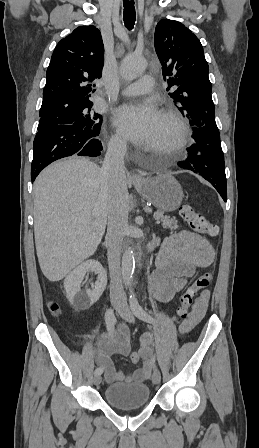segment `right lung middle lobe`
<instances>
[{"instance_id":"1","label":"right lung middle lobe","mask_w":259,"mask_h":448,"mask_svg":"<svg viewBox=\"0 0 259 448\" xmlns=\"http://www.w3.org/2000/svg\"><path fill=\"white\" fill-rule=\"evenodd\" d=\"M92 104L46 114H40L38 131L56 125H73L78 129L99 131L102 116L91 110Z\"/></svg>"}]
</instances>
